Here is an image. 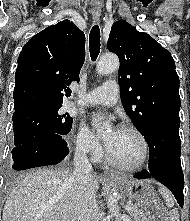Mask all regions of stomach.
<instances>
[{"label":"stomach","instance_id":"obj_1","mask_svg":"<svg viewBox=\"0 0 190 221\" xmlns=\"http://www.w3.org/2000/svg\"><path fill=\"white\" fill-rule=\"evenodd\" d=\"M115 183L146 215L145 221H168L165 209L149 180L119 177Z\"/></svg>","mask_w":190,"mask_h":221}]
</instances>
